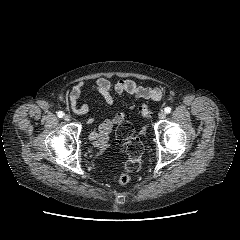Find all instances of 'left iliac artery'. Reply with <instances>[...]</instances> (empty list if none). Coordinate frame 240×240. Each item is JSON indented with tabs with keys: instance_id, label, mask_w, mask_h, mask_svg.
Segmentation results:
<instances>
[{
	"instance_id": "obj_1",
	"label": "left iliac artery",
	"mask_w": 240,
	"mask_h": 240,
	"mask_svg": "<svg viewBox=\"0 0 240 240\" xmlns=\"http://www.w3.org/2000/svg\"><path fill=\"white\" fill-rule=\"evenodd\" d=\"M164 112H165L166 114H169V113L171 112V108H170V107H166V108L164 109Z\"/></svg>"
}]
</instances>
